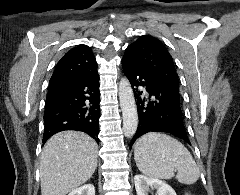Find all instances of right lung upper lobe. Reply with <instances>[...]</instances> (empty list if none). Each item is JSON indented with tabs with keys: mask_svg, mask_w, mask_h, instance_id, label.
<instances>
[{
	"mask_svg": "<svg viewBox=\"0 0 240 195\" xmlns=\"http://www.w3.org/2000/svg\"><path fill=\"white\" fill-rule=\"evenodd\" d=\"M97 73V63L91 49L78 45L68 51L58 62L49 85L82 81Z\"/></svg>",
	"mask_w": 240,
	"mask_h": 195,
	"instance_id": "right-lung-upper-lobe-1",
	"label": "right lung upper lobe"
}]
</instances>
